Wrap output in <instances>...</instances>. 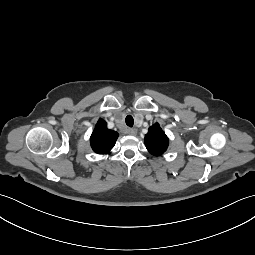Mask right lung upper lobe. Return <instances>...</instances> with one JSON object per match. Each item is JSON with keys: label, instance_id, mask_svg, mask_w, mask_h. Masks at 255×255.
Masks as SVG:
<instances>
[{"label": "right lung upper lobe", "instance_id": "obj_1", "mask_svg": "<svg viewBox=\"0 0 255 255\" xmlns=\"http://www.w3.org/2000/svg\"><path fill=\"white\" fill-rule=\"evenodd\" d=\"M117 138L118 133L109 130L106 122L99 119L90 138L91 147L97 154H107L114 147Z\"/></svg>", "mask_w": 255, "mask_h": 255}]
</instances>
